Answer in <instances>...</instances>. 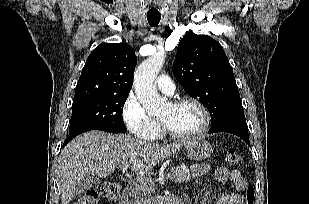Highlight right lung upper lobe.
<instances>
[{"instance_id":"cb5924a9","label":"right lung upper lobe","mask_w":309,"mask_h":204,"mask_svg":"<svg viewBox=\"0 0 309 204\" xmlns=\"http://www.w3.org/2000/svg\"><path fill=\"white\" fill-rule=\"evenodd\" d=\"M136 64L135 51L128 44H100L82 69L73 103L106 95L129 94Z\"/></svg>"}]
</instances>
